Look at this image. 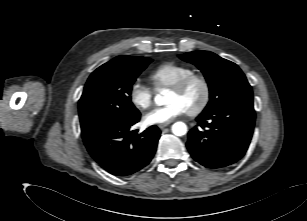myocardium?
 Listing matches in <instances>:
<instances>
[{
	"mask_svg": "<svg viewBox=\"0 0 307 221\" xmlns=\"http://www.w3.org/2000/svg\"><path fill=\"white\" fill-rule=\"evenodd\" d=\"M193 83H199L203 89V96L200 103L195 108L186 110L189 116L195 117L203 113L210 103L211 85L208 79L203 75L193 73L170 86V90L175 92H183Z\"/></svg>",
	"mask_w": 307,
	"mask_h": 221,
	"instance_id": "myocardium-1",
	"label": "myocardium"
}]
</instances>
